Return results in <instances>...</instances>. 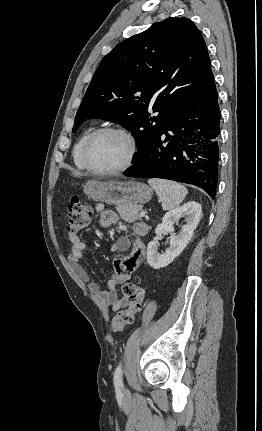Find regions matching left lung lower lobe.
Segmentation results:
<instances>
[{
	"label": "left lung lower lobe",
	"instance_id": "0a47b994",
	"mask_svg": "<svg viewBox=\"0 0 262 431\" xmlns=\"http://www.w3.org/2000/svg\"><path fill=\"white\" fill-rule=\"evenodd\" d=\"M220 108L215 83L168 123L125 176L192 184L216 195Z\"/></svg>",
	"mask_w": 262,
	"mask_h": 431
}]
</instances>
